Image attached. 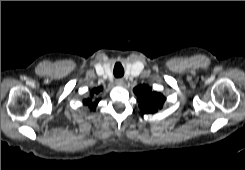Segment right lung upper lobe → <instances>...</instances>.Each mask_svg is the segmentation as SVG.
<instances>
[{"mask_svg":"<svg viewBox=\"0 0 245 170\" xmlns=\"http://www.w3.org/2000/svg\"><path fill=\"white\" fill-rule=\"evenodd\" d=\"M102 90H103L102 87L95 88L93 90V92H91V97L93 96V93L98 94ZM98 102H99V99H96L95 101H92L90 98L83 100V103L88 105L90 107V109L93 110V111H95L96 105L98 104Z\"/></svg>","mask_w":245,"mask_h":170,"instance_id":"obj_1","label":"right lung upper lobe"}]
</instances>
